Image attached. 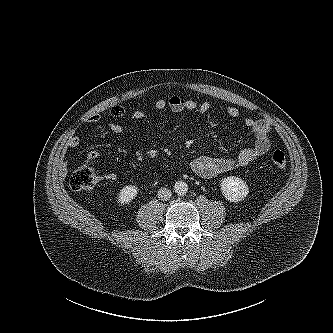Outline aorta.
<instances>
[{"label":"aorta","instance_id":"obj_1","mask_svg":"<svg viewBox=\"0 0 333 333\" xmlns=\"http://www.w3.org/2000/svg\"><path fill=\"white\" fill-rule=\"evenodd\" d=\"M174 190L178 195H184L188 192V185L184 181H177L174 184Z\"/></svg>","mask_w":333,"mask_h":333}]
</instances>
